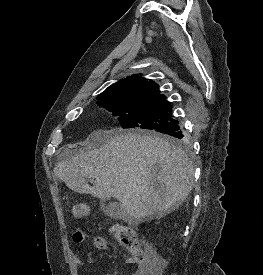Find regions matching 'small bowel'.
I'll list each match as a JSON object with an SVG mask.
<instances>
[{
  "label": "small bowel",
  "instance_id": "c3829d8e",
  "mask_svg": "<svg viewBox=\"0 0 263 275\" xmlns=\"http://www.w3.org/2000/svg\"><path fill=\"white\" fill-rule=\"evenodd\" d=\"M72 239H73V242L77 243V244L85 242V241H91L93 246L99 250H105L108 247V244H107V241L105 238H103L101 236L88 234L82 230L75 231L73 233ZM73 261L77 266L82 267V268L85 267V265H86L82 261V259L80 257V251L78 249H75L73 252ZM127 263H129L131 265H135L132 258H128ZM106 275H111V274H106ZM132 275H141V272L139 269H137L135 272L132 273Z\"/></svg>",
  "mask_w": 263,
  "mask_h": 275
}]
</instances>
